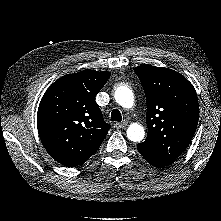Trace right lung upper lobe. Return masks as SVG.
Returning <instances> with one entry per match:
<instances>
[{"label":"right lung upper lobe","mask_w":221,"mask_h":221,"mask_svg":"<svg viewBox=\"0 0 221 221\" xmlns=\"http://www.w3.org/2000/svg\"><path fill=\"white\" fill-rule=\"evenodd\" d=\"M110 72L84 70L56 80L39 104L37 127L49 155L65 166L85 163L101 146L111 127L95 97Z\"/></svg>","instance_id":"1"}]
</instances>
